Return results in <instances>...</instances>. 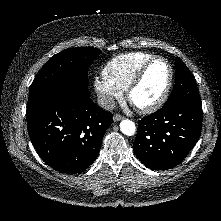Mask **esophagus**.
<instances>
[{"mask_svg": "<svg viewBox=\"0 0 221 221\" xmlns=\"http://www.w3.org/2000/svg\"><path fill=\"white\" fill-rule=\"evenodd\" d=\"M123 119V117L121 116V115H119V114H115L114 116H113V120L114 121H120V120H122Z\"/></svg>", "mask_w": 221, "mask_h": 221, "instance_id": "esophagus-1", "label": "esophagus"}]
</instances>
